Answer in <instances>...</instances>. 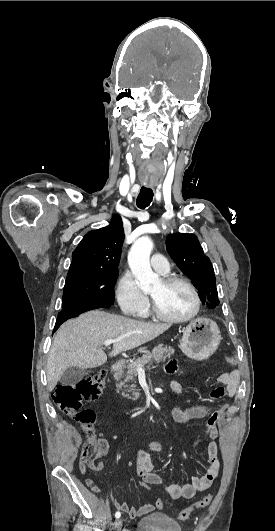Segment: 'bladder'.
Masks as SVG:
<instances>
[{
	"instance_id": "bladder-1",
	"label": "bladder",
	"mask_w": 275,
	"mask_h": 531,
	"mask_svg": "<svg viewBox=\"0 0 275 531\" xmlns=\"http://www.w3.org/2000/svg\"><path fill=\"white\" fill-rule=\"evenodd\" d=\"M134 531H181L180 522L165 512H154L141 517Z\"/></svg>"
}]
</instances>
